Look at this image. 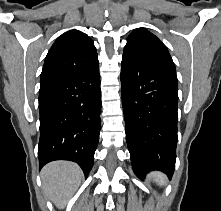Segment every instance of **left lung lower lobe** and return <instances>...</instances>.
Returning <instances> with one entry per match:
<instances>
[{
    "instance_id": "left-lung-lower-lobe-1",
    "label": "left lung lower lobe",
    "mask_w": 221,
    "mask_h": 211,
    "mask_svg": "<svg viewBox=\"0 0 221 211\" xmlns=\"http://www.w3.org/2000/svg\"><path fill=\"white\" fill-rule=\"evenodd\" d=\"M121 95L135 174L143 178L148 172L159 170L171 178L178 140L176 73L123 57Z\"/></svg>"
}]
</instances>
